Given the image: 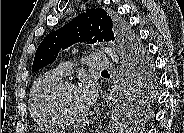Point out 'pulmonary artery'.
I'll use <instances>...</instances> for the list:
<instances>
[{
  "label": "pulmonary artery",
  "instance_id": "1",
  "mask_svg": "<svg viewBox=\"0 0 184 133\" xmlns=\"http://www.w3.org/2000/svg\"><path fill=\"white\" fill-rule=\"evenodd\" d=\"M87 66L92 70H108L112 68L111 60L105 55L91 54L84 58ZM57 72L66 77L71 73L72 66L69 62H63L57 67Z\"/></svg>",
  "mask_w": 184,
  "mask_h": 133
}]
</instances>
